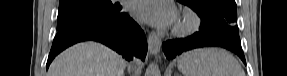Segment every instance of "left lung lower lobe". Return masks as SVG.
<instances>
[{
	"mask_svg": "<svg viewBox=\"0 0 287 76\" xmlns=\"http://www.w3.org/2000/svg\"><path fill=\"white\" fill-rule=\"evenodd\" d=\"M219 46L236 53L246 64L239 37L230 36L210 29L201 23L199 32L185 39L168 40L162 49L168 59H173L183 51L198 47Z\"/></svg>",
	"mask_w": 287,
	"mask_h": 76,
	"instance_id": "0a47b994",
	"label": "left lung lower lobe"
}]
</instances>
